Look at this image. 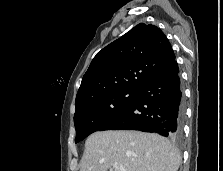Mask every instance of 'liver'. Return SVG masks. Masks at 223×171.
I'll return each mask as SVG.
<instances>
[{
  "mask_svg": "<svg viewBox=\"0 0 223 171\" xmlns=\"http://www.w3.org/2000/svg\"><path fill=\"white\" fill-rule=\"evenodd\" d=\"M115 163L126 171H177L181 156L158 134L125 130L91 134L85 142L80 171H108Z\"/></svg>",
  "mask_w": 223,
  "mask_h": 171,
  "instance_id": "1",
  "label": "liver"
}]
</instances>
